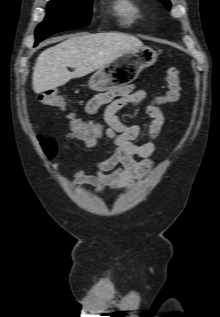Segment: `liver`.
Here are the masks:
<instances>
[{"label": "liver", "mask_w": 220, "mask_h": 317, "mask_svg": "<svg viewBox=\"0 0 220 317\" xmlns=\"http://www.w3.org/2000/svg\"><path fill=\"white\" fill-rule=\"evenodd\" d=\"M143 47L134 36L124 33H97L71 36L37 57L33 67L32 86L35 93L55 89L73 78L101 69L123 53ZM67 67L75 70L70 72Z\"/></svg>", "instance_id": "liver-1"}]
</instances>
